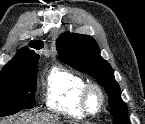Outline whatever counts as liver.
<instances>
[{
  "label": "liver",
  "mask_w": 145,
  "mask_h": 124,
  "mask_svg": "<svg viewBox=\"0 0 145 124\" xmlns=\"http://www.w3.org/2000/svg\"><path fill=\"white\" fill-rule=\"evenodd\" d=\"M0 124H62L57 116L50 114H22L18 120L0 121Z\"/></svg>",
  "instance_id": "liver-1"
}]
</instances>
